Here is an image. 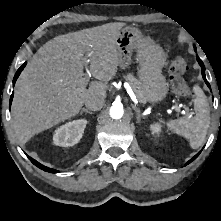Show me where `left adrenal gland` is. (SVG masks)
<instances>
[{
    "label": "left adrenal gland",
    "mask_w": 221,
    "mask_h": 221,
    "mask_svg": "<svg viewBox=\"0 0 221 221\" xmlns=\"http://www.w3.org/2000/svg\"><path fill=\"white\" fill-rule=\"evenodd\" d=\"M132 108L135 110L136 114H137V122L141 123V117L145 118L143 115H141L140 110L132 104Z\"/></svg>",
    "instance_id": "a2214340"
}]
</instances>
